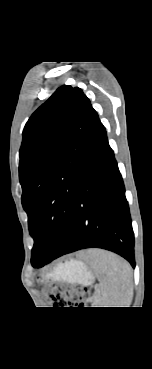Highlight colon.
I'll return each mask as SVG.
<instances>
[{"mask_svg": "<svg viewBox=\"0 0 152 369\" xmlns=\"http://www.w3.org/2000/svg\"><path fill=\"white\" fill-rule=\"evenodd\" d=\"M48 300L56 307L83 306L88 299L86 289L76 285H53L46 292Z\"/></svg>", "mask_w": 152, "mask_h": 369, "instance_id": "colon-1", "label": "colon"}]
</instances>
